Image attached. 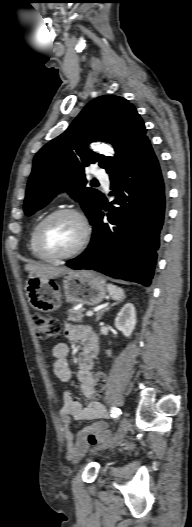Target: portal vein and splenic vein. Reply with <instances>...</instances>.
I'll use <instances>...</instances> for the list:
<instances>
[{
    "instance_id": "obj_1",
    "label": "portal vein and splenic vein",
    "mask_w": 192,
    "mask_h": 527,
    "mask_svg": "<svg viewBox=\"0 0 192 527\" xmlns=\"http://www.w3.org/2000/svg\"><path fill=\"white\" fill-rule=\"evenodd\" d=\"M86 315L89 316V317L92 316L93 315V311L86 312Z\"/></svg>"
}]
</instances>
